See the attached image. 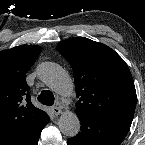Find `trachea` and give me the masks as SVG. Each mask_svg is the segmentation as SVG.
I'll list each match as a JSON object with an SVG mask.
<instances>
[{
  "label": "trachea",
  "mask_w": 145,
  "mask_h": 145,
  "mask_svg": "<svg viewBox=\"0 0 145 145\" xmlns=\"http://www.w3.org/2000/svg\"><path fill=\"white\" fill-rule=\"evenodd\" d=\"M38 100L44 105L52 106L54 104L55 98L51 91L44 90L39 95Z\"/></svg>",
  "instance_id": "trachea-1"
}]
</instances>
